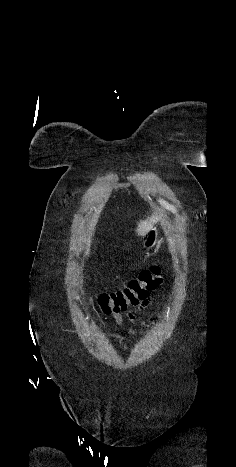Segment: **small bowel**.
Returning <instances> with one entry per match:
<instances>
[{
    "instance_id": "small-bowel-1",
    "label": "small bowel",
    "mask_w": 236,
    "mask_h": 467,
    "mask_svg": "<svg viewBox=\"0 0 236 467\" xmlns=\"http://www.w3.org/2000/svg\"><path fill=\"white\" fill-rule=\"evenodd\" d=\"M151 303L150 299H145L138 307L136 311H131V310H125L124 313L126 317L131 321V322H137L140 321L144 325H148L152 322V319L145 320L142 317V313L144 310L149 306ZM113 319L117 324L122 323V315L120 313H113Z\"/></svg>"
}]
</instances>
